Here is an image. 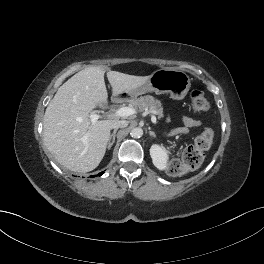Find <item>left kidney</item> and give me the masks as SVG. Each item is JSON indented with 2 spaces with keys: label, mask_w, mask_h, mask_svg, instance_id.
Segmentation results:
<instances>
[{
  "label": "left kidney",
  "mask_w": 264,
  "mask_h": 264,
  "mask_svg": "<svg viewBox=\"0 0 264 264\" xmlns=\"http://www.w3.org/2000/svg\"><path fill=\"white\" fill-rule=\"evenodd\" d=\"M150 155L153 164L160 170H164L168 166V151L160 145L154 144L150 148Z\"/></svg>",
  "instance_id": "obj_1"
}]
</instances>
